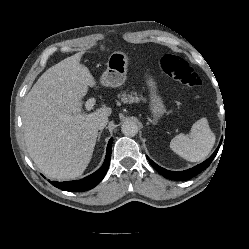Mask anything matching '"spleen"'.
Masks as SVG:
<instances>
[{"instance_id": "obj_1", "label": "spleen", "mask_w": 249, "mask_h": 249, "mask_svg": "<svg viewBox=\"0 0 249 249\" xmlns=\"http://www.w3.org/2000/svg\"><path fill=\"white\" fill-rule=\"evenodd\" d=\"M215 144V135L211 131L206 118L195 122L190 136L179 134L170 142L173 152L190 162H198L207 157Z\"/></svg>"}]
</instances>
